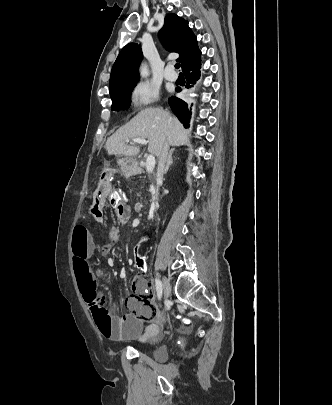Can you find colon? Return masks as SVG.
I'll return each mask as SVG.
<instances>
[{
    "label": "colon",
    "mask_w": 332,
    "mask_h": 405,
    "mask_svg": "<svg viewBox=\"0 0 332 405\" xmlns=\"http://www.w3.org/2000/svg\"><path fill=\"white\" fill-rule=\"evenodd\" d=\"M111 197L109 198L110 206L112 212H123L124 210V203H127L128 196L125 194L124 185L123 184H112L110 187ZM141 243H146V238H141ZM133 268L134 270H139L140 273H145L147 271L146 268V259L145 258H134L133 259ZM99 301H104L103 299H99ZM108 311V309H107Z\"/></svg>",
    "instance_id": "5ec220e1"
}]
</instances>
